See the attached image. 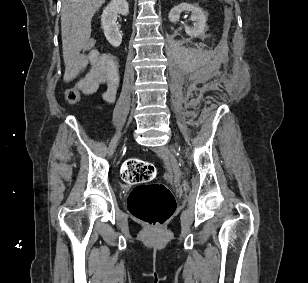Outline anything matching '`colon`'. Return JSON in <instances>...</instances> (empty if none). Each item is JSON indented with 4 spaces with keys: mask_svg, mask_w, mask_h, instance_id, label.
<instances>
[{
    "mask_svg": "<svg viewBox=\"0 0 308 283\" xmlns=\"http://www.w3.org/2000/svg\"><path fill=\"white\" fill-rule=\"evenodd\" d=\"M96 39L90 38L84 45V53L95 50ZM83 90L76 84L65 91L66 100L77 103ZM156 175L152 163L131 158L124 162L121 177L124 182L133 184L127 205L131 214L140 221L151 226H162L175 210V198L171 190L161 183H150Z\"/></svg>",
    "mask_w": 308,
    "mask_h": 283,
    "instance_id": "obj_1",
    "label": "colon"
}]
</instances>
